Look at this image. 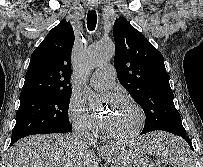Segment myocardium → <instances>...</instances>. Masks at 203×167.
<instances>
[{
  "label": "myocardium",
  "mask_w": 203,
  "mask_h": 167,
  "mask_svg": "<svg viewBox=\"0 0 203 167\" xmlns=\"http://www.w3.org/2000/svg\"><path fill=\"white\" fill-rule=\"evenodd\" d=\"M123 100H124V104L127 107H129L130 109H132L137 116V123H136L135 127L126 134L117 135V134H114V133L110 132L109 130H107L103 124L101 125L104 134L108 138L115 140V141H119V142H126V141H129V140H132L133 138H135L141 132V130L144 126V122H145V115H144L143 110L136 103H134L126 98H124Z\"/></svg>",
  "instance_id": "f54148a6"
}]
</instances>
